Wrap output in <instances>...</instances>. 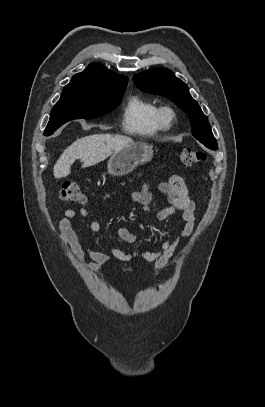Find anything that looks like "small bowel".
I'll list each match as a JSON object with an SVG mask.
<instances>
[{
	"mask_svg": "<svg viewBox=\"0 0 265 407\" xmlns=\"http://www.w3.org/2000/svg\"><path fill=\"white\" fill-rule=\"evenodd\" d=\"M158 190L166 196L168 202L167 207L159 212V218L166 219L179 212L183 221V227L179 234L174 238L165 240L159 250L128 253L111 248L108 252L96 251L82 243L78 238L72 222L77 212L73 209H67L60 220L59 231L62 241L70 248L76 261L93 273L99 272L104 265L110 264L113 260L128 263L134 258H140L149 263L152 270L163 268L173 256L180 238L190 236L193 233L195 203L190 199L185 181L180 176L174 175L168 181L159 183ZM131 196L144 211H149L153 195L147 183L143 184L139 190L133 191ZM79 214L87 217L89 212L87 209L81 208ZM89 228L92 232L98 233L101 230V225L97 220H91ZM117 234L126 243L135 244L137 242V236L126 227L118 228Z\"/></svg>",
	"mask_w": 265,
	"mask_h": 407,
	"instance_id": "c3829d8e",
	"label": "small bowel"
}]
</instances>
